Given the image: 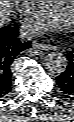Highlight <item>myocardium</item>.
Instances as JSON below:
<instances>
[{"instance_id": "obj_1", "label": "myocardium", "mask_w": 74, "mask_h": 122, "mask_svg": "<svg viewBox=\"0 0 74 122\" xmlns=\"http://www.w3.org/2000/svg\"><path fill=\"white\" fill-rule=\"evenodd\" d=\"M46 2H48V1H46ZM68 20L74 22V1H73V10H72L71 16Z\"/></svg>"}]
</instances>
